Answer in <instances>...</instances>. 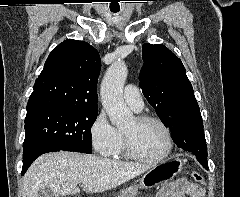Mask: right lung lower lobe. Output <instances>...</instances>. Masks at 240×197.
<instances>
[{
	"mask_svg": "<svg viewBox=\"0 0 240 197\" xmlns=\"http://www.w3.org/2000/svg\"><path fill=\"white\" fill-rule=\"evenodd\" d=\"M53 151H60L57 148H49V149H45V150H41L38 151L36 153H33L32 155H30L29 157H27L26 159H23V168H22V175L26 172V170L28 169V167L31 165V163L41 154L43 153H47V152H53Z\"/></svg>",
	"mask_w": 240,
	"mask_h": 197,
	"instance_id": "1",
	"label": "right lung lower lobe"
}]
</instances>
